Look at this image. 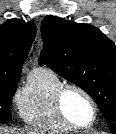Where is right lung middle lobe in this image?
<instances>
[{"label": "right lung middle lobe", "mask_w": 116, "mask_h": 134, "mask_svg": "<svg viewBox=\"0 0 116 134\" xmlns=\"http://www.w3.org/2000/svg\"><path fill=\"white\" fill-rule=\"evenodd\" d=\"M17 83H0V122L11 120V102L17 89Z\"/></svg>", "instance_id": "right-lung-middle-lobe-1"}]
</instances>
